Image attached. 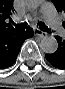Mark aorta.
I'll return each mask as SVG.
<instances>
[{"label":"aorta","instance_id":"762f6f07","mask_svg":"<svg viewBox=\"0 0 65 89\" xmlns=\"http://www.w3.org/2000/svg\"><path fill=\"white\" fill-rule=\"evenodd\" d=\"M37 4V1L31 2L32 6H36ZM40 48L47 54H53L57 51L58 42L53 36H45L40 42Z\"/></svg>","mask_w":65,"mask_h":89}]
</instances>
